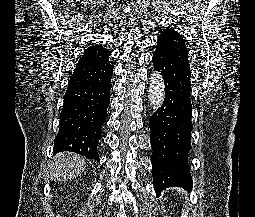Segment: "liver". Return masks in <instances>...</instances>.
Instances as JSON below:
<instances>
[{
  "label": "liver",
  "instance_id": "obj_1",
  "mask_svg": "<svg viewBox=\"0 0 255 217\" xmlns=\"http://www.w3.org/2000/svg\"><path fill=\"white\" fill-rule=\"evenodd\" d=\"M85 159L72 152H62L53 157L50 178L65 181L80 175L85 170Z\"/></svg>",
  "mask_w": 255,
  "mask_h": 217
}]
</instances>
